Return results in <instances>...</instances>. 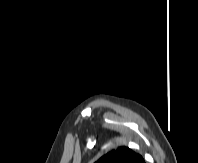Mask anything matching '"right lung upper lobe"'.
<instances>
[{
  "mask_svg": "<svg viewBox=\"0 0 198 163\" xmlns=\"http://www.w3.org/2000/svg\"><path fill=\"white\" fill-rule=\"evenodd\" d=\"M95 163H145V161L140 154L128 147H119L108 152Z\"/></svg>",
  "mask_w": 198,
  "mask_h": 163,
  "instance_id": "1",
  "label": "right lung upper lobe"
}]
</instances>
